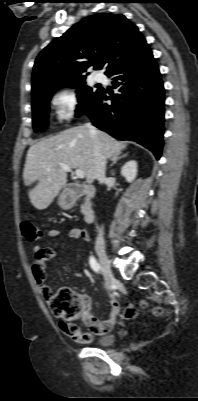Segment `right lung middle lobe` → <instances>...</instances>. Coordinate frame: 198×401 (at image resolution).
Wrapping results in <instances>:
<instances>
[{"instance_id": "1", "label": "right lung middle lobe", "mask_w": 198, "mask_h": 401, "mask_svg": "<svg viewBox=\"0 0 198 401\" xmlns=\"http://www.w3.org/2000/svg\"><path fill=\"white\" fill-rule=\"evenodd\" d=\"M84 84L85 82L83 81L71 85L73 87H79L77 90L79 104L76 109V116L86 114L103 90V88H98L96 91H93L92 88L87 87ZM56 90L57 89H53L43 92L32 99L33 128L35 131H41L47 127L49 113L48 102L50 101L53 92Z\"/></svg>"}]
</instances>
